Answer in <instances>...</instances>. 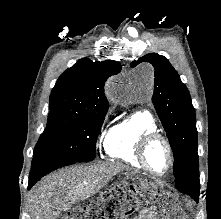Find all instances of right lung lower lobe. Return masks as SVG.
Masks as SVG:
<instances>
[{
    "mask_svg": "<svg viewBox=\"0 0 221 219\" xmlns=\"http://www.w3.org/2000/svg\"><path fill=\"white\" fill-rule=\"evenodd\" d=\"M76 162L63 159L53 154H39L34 156L29 176L28 189H30L39 179L47 173L63 166L71 165Z\"/></svg>",
    "mask_w": 221,
    "mask_h": 219,
    "instance_id": "1",
    "label": "right lung lower lobe"
}]
</instances>
